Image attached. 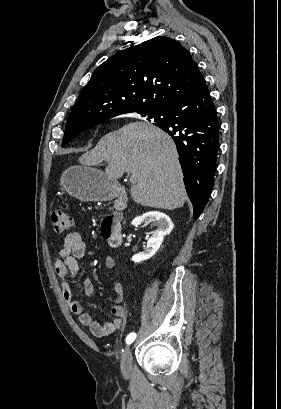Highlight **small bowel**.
I'll return each instance as SVG.
<instances>
[{
	"mask_svg": "<svg viewBox=\"0 0 281 409\" xmlns=\"http://www.w3.org/2000/svg\"><path fill=\"white\" fill-rule=\"evenodd\" d=\"M85 250V242L79 233L73 232L67 234L58 249L54 266L61 280L63 298L70 310L78 316L81 325L89 328L92 335L102 338L118 331L122 327L123 318L125 316V307L123 305L124 289L120 283L114 284V305L112 307L114 319L112 321L101 325L94 321L88 313L84 312L81 303L74 299L73 282L79 270L78 260L84 255ZM104 265L109 270L113 269L115 267L114 258L107 256L104 260ZM82 284L86 294L91 299H95V290L92 282L85 278Z\"/></svg>",
	"mask_w": 281,
	"mask_h": 409,
	"instance_id": "small-bowel-1",
	"label": "small bowel"
}]
</instances>
